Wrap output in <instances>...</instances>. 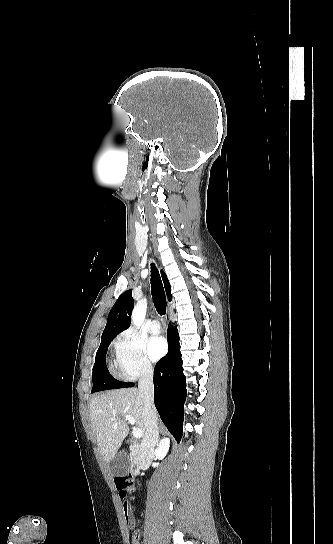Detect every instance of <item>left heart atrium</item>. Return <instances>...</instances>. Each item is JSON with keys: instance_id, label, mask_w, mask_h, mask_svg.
Segmentation results:
<instances>
[{"instance_id": "1", "label": "left heart atrium", "mask_w": 333, "mask_h": 544, "mask_svg": "<svg viewBox=\"0 0 333 544\" xmlns=\"http://www.w3.org/2000/svg\"><path fill=\"white\" fill-rule=\"evenodd\" d=\"M147 352L149 357L156 361L167 352V343L161 336H154L147 341Z\"/></svg>"}]
</instances>
